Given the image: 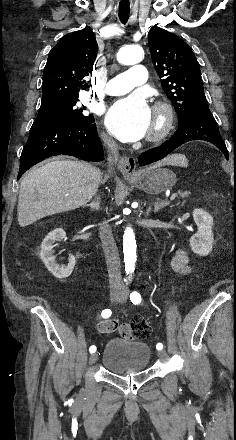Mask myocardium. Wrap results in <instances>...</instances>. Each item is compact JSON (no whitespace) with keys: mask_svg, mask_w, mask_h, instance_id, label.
<instances>
[{"mask_svg":"<svg viewBox=\"0 0 236 440\" xmlns=\"http://www.w3.org/2000/svg\"><path fill=\"white\" fill-rule=\"evenodd\" d=\"M153 123L148 133V140L157 142L164 139L172 130L174 124L173 107L165 100L155 103Z\"/></svg>","mask_w":236,"mask_h":440,"instance_id":"myocardium-1","label":"myocardium"}]
</instances>
